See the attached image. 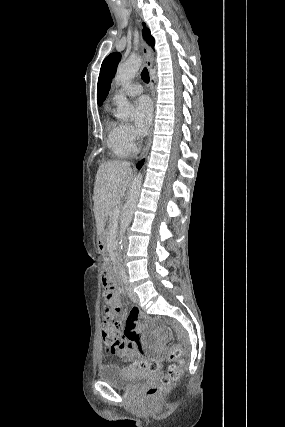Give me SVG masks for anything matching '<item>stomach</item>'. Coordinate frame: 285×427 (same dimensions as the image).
Here are the masks:
<instances>
[{
	"instance_id": "stomach-1",
	"label": "stomach",
	"mask_w": 285,
	"mask_h": 427,
	"mask_svg": "<svg viewBox=\"0 0 285 427\" xmlns=\"http://www.w3.org/2000/svg\"><path fill=\"white\" fill-rule=\"evenodd\" d=\"M97 246H98L99 252L104 254L106 252V249H107L106 239L104 237H100L98 240Z\"/></svg>"
}]
</instances>
